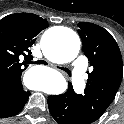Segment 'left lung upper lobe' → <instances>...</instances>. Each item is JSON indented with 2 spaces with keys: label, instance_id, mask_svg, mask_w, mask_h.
I'll return each instance as SVG.
<instances>
[{
  "label": "left lung upper lobe",
  "instance_id": "left-lung-upper-lobe-1",
  "mask_svg": "<svg viewBox=\"0 0 124 124\" xmlns=\"http://www.w3.org/2000/svg\"><path fill=\"white\" fill-rule=\"evenodd\" d=\"M84 54L92 71L84 94L76 99L85 121L95 122L113 102L123 76V62L118 44L104 28L88 22L78 24Z\"/></svg>",
  "mask_w": 124,
  "mask_h": 124
}]
</instances>
